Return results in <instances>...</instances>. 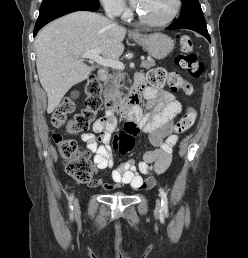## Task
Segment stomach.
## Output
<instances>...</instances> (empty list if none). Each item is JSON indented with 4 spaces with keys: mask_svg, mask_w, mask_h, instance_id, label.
Returning <instances> with one entry per match:
<instances>
[{
    "mask_svg": "<svg viewBox=\"0 0 248 258\" xmlns=\"http://www.w3.org/2000/svg\"><path fill=\"white\" fill-rule=\"evenodd\" d=\"M133 38L155 59L167 57L174 48L173 39L162 33H152L148 35L136 34L133 35Z\"/></svg>",
    "mask_w": 248,
    "mask_h": 258,
    "instance_id": "0dacf381",
    "label": "stomach"
}]
</instances>
